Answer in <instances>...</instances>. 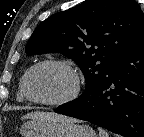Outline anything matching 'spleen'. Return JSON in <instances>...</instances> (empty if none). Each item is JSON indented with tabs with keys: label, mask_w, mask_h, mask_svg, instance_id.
Here are the masks:
<instances>
[{
	"label": "spleen",
	"mask_w": 144,
	"mask_h": 137,
	"mask_svg": "<svg viewBox=\"0 0 144 137\" xmlns=\"http://www.w3.org/2000/svg\"><path fill=\"white\" fill-rule=\"evenodd\" d=\"M100 137H109V134L102 128H98Z\"/></svg>",
	"instance_id": "spleen-1"
}]
</instances>
